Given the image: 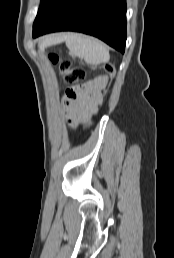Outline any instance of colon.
Here are the masks:
<instances>
[{
	"label": "colon",
	"instance_id": "obj_1",
	"mask_svg": "<svg viewBox=\"0 0 174 258\" xmlns=\"http://www.w3.org/2000/svg\"><path fill=\"white\" fill-rule=\"evenodd\" d=\"M49 59L53 64L58 66L63 80L69 85L67 90L68 95L71 97H76L80 91V83L85 79L86 76L85 68L83 66L74 67L69 61L62 60L56 54H50ZM104 70L109 74L111 79L115 77L116 68L114 64L106 63L104 65Z\"/></svg>",
	"mask_w": 174,
	"mask_h": 258
}]
</instances>
